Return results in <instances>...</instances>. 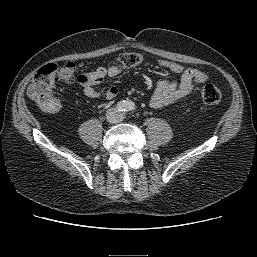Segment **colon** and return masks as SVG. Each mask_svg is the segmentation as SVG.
I'll return each mask as SVG.
<instances>
[{
	"label": "colon",
	"instance_id": "colon-1",
	"mask_svg": "<svg viewBox=\"0 0 257 257\" xmlns=\"http://www.w3.org/2000/svg\"><path fill=\"white\" fill-rule=\"evenodd\" d=\"M143 61L144 56L142 54L130 51L120 54L114 61V65L123 70L137 66ZM159 63L175 73L183 74L188 70L179 64L165 60ZM192 73L199 82L207 80L206 74L200 70L195 69ZM79 79L80 76L76 75V65L73 62H65L60 66L47 64L37 71L27 89V94L44 111L53 113L62 107L61 99L53 95L54 85L58 82L72 84ZM200 95L202 101L207 105H216L222 99L221 91L213 84H205L201 88Z\"/></svg>",
	"mask_w": 257,
	"mask_h": 257
}]
</instances>
